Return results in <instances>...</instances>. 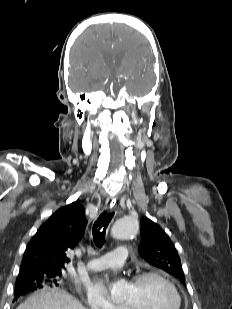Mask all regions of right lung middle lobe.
Segmentation results:
<instances>
[{
  "instance_id": "1",
  "label": "right lung middle lobe",
  "mask_w": 232,
  "mask_h": 309,
  "mask_svg": "<svg viewBox=\"0 0 232 309\" xmlns=\"http://www.w3.org/2000/svg\"><path fill=\"white\" fill-rule=\"evenodd\" d=\"M62 277V270L47 271H21L18 274L15 287L25 285L35 280L40 287L59 286Z\"/></svg>"
}]
</instances>
